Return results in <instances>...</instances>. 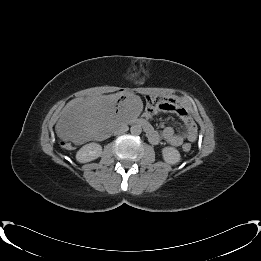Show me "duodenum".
<instances>
[{
  "mask_svg": "<svg viewBox=\"0 0 261 261\" xmlns=\"http://www.w3.org/2000/svg\"><path fill=\"white\" fill-rule=\"evenodd\" d=\"M136 123L143 127V129L146 131L147 134H150L153 131L152 126L149 124V122L144 118H139L136 120Z\"/></svg>",
  "mask_w": 261,
  "mask_h": 261,
  "instance_id": "obj_1",
  "label": "duodenum"
}]
</instances>
